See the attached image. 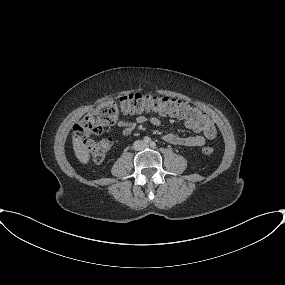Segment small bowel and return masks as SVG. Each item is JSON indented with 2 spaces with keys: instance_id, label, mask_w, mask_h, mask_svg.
Returning <instances> with one entry per match:
<instances>
[{
  "instance_id": "small-bowel-1",
  "label": "small bowel",
  "mask_w": 285,
  "mask_h": 285,
  "mask_svg": "<svg viewBox=\"0 0 285 285\" xmlns=\"http://www.w3.org/2000/svg\"><path fill=\"white\" fill-rule=\"evenodd\" d=\"M148 118L144 114H138L135 121L119 120L117 126L121 128V135L128 137L132 134L137 124H143L147 122ZM150 123L154 126H159L161 121L158 116H152L149 119ZM185 125L195 131H200L193 127L189 122L185 120ZM215 136H208L206 134L196 135H180L174 132L167 133L163 136V140L173 145H181L186 147H199L204 145L206 139H213Z\"/></svg>"
}]
</instances>
